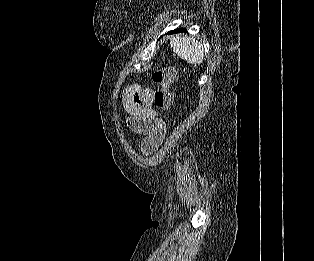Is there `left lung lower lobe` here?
I'll list each match as a JSON object with an SVG mask.
<instances>
[{
	"instance_id": "left-lung-lower-lobe-1",
	"label": "left lung lower lobe",
	"mask_w": 314,
	"mask_h": 261,
	"mask_svg": "<svg viewBox=\"0 0 314 261\" xmlns=\"http://www.w3.org/2000/svg\"><path fill=\"white\" fill-rule=\"evenodd\" d=\"M181 31H186V29H176L174 31L168 32V34L173 33V32H181Z\"/></svg>"
}]
</instances>
